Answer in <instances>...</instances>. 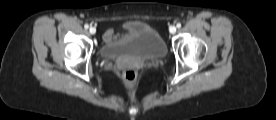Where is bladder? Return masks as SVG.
I'll list each match as a JSON object with an SVG mask.
<instances>
[{
	"label": "bladder",
	"mask_w": 276,
	"mask_h": 120,
	"mask_svg": "<svg viewBox=\"0 0 276 120\" xmlns=\"http://www.w3.org/2000/svg\"><path fill=\"white\" fill-rule=\"evenodd\" d=\"M122 30L120 38L102 43L100 54L103 57L134 55L157 59L167 54L163 37L149 24L139 20H128L122 24Z\"/></svg>",
	"instance_id": "1"
}]
</instances>
